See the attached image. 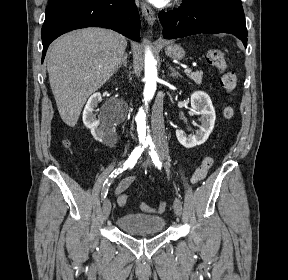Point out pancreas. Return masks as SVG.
<instances>
[{
    "label": "pancreas",
    "instance_id": "pancreas-1",
    "mask_svg": "<svg viewBox=\"0 0 288 280\" xmlns=\"http://www.w3.org/2000/svg\"><path fill=\"white\" fill-rule=\"evenodd\" d=\"M188 76L196 84H201L202 83V76H203V72L202 71H196L194 73H189Z\"/></svg>",
    "mask_w": 288,
    "mask_h": 280
}]
</instances>
